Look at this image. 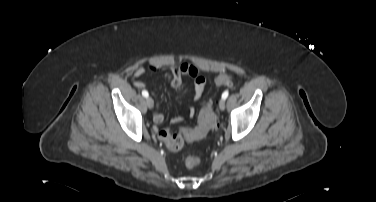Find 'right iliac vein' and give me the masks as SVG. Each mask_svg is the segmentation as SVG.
<instances>
[{"instance_id": "1", "label": "right iliac vein", "mask_w": 376, "mask_h": 202, "mask_svg": "<svg viewBox=\"0 0 376 202\" xmlns=\"http://www.w3.org/2000/svg\"><path fill=\"white\" fill-rule=\"evenodd\" d=\"M146 104H147V107H148L149 109H152V108H153V105H154V101H153V99H152L151 97H147V98H146Z\"/></svg>"}]
</instances>
